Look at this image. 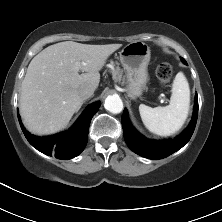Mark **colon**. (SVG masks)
<instances>
[{"mask_svg": "<svg viewBox=\"0 0 222 222\" xmlns=\"http://www.w3.org/2000/svg\"><path fill=\"white\" fill-rule=\"evenodd\" d=\"M157 77L162 84H167L172 79L174 68L170 61H162L157 67Z\"/></svg>", "mask_w": 222, "mask_h": 222, "instance_id": "1", "label": "colon"}]
</instances>
